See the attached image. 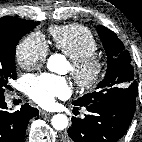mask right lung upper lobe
I'll return each mask as SVG.
<instances>
[{
    "label": "right lung upper lobe",
    "mask_w": 142,
    "mask_h": 142,
    "mask_svg": "<svg viewBox=\"0 0 142 142\" xmlns=\"http://www.w3.org/2000/svg\"><path fill=\"white\" fill-rule=\"evenodd\" d=\"M23 21H28V20H22L19 18L15 17H4L0 19V29L2 28H7L10 25L16 24L18 22H23Z\"/></svg>",
    "instance_id": "1"
}]
</instances>
